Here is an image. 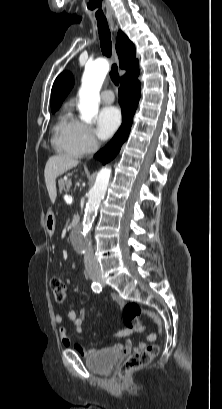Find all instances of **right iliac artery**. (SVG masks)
<instances>
[{
  "mask_svg": "<svg viewBox=\"0 0 222 409\" xmlns=\"http://www.w3.org/2000/svg\"><path fill=\"white\" fill-rule=\"evenodd\" d=\"M91 288L95 293H100L102 291V286L100 283L93 282Z\"/></svg>",
  "mask_w": 222,
  "mask_h": 409,
  "instance_id": "obj_1",
  "label": "right iliac artery"
}]
</instances>
